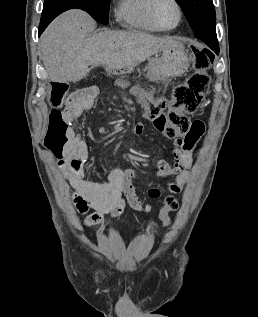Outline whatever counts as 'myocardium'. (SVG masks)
Returning <instances> with one entry per match:
<instances>
[{
	"mask_svg": "<svg viewBox=\"0 0 258 317\" xmlns=\"http://www.w3.org/2000/svg\"><path fill=\"white\" fill-rule=\"evenodd\" d=\"M161 1H163V0H154L153 1L152 5H151V7L149 9V17H150L151 21L153 22V24L156 26V28L158 30H161V31L173 30L179 25V23H180V21L182 19V7H181V4H180V2L178 0H172L177 6L178 17H177L176 22L173 25L166 27V26L161 25L158 22V20L156 19V16H155V8Z\"/></svg>",
	"mask_w": 258,
	"mask_h": 317,
	"instance_id": "myocardium-1",
	"label": "myocardium"
}]
</instances>
